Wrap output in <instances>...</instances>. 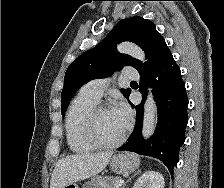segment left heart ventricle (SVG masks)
Masks as SVG:
<instances>
[{"label": "left heart ventricle", "mask_w": 224, "mask_h": 188, "mask_svg": "<svg viewBox=\"0 0 224 188\" xmlns=\"http://www.w3.org/2000/svg\"><path fill=\"white\" fill-rule=\"evenodd\" d=\"M125 126L112 109L102 111L97 118V133L104 141L116 140L125 130Z\"/></svg>", "instance_id": "b2bd125f"}]
</instances>
